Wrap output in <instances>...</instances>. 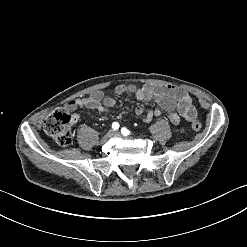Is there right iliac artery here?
Returning a JSON list of instances; mask_svg holds the SVG:
<instances>
[{
    "mask_svg": "<svg viewBox=\"0 0 247 247\" xmlns=\"http://www.w3.org/2000/svg\"><path fill=\"white\" fill-rule=\"evenodd\" d=\"M119 123L118 122H113V124H112V128L114 129V130H118L119 129Z\"/></svg>",
    "mask_w": 247,
    "mask_h": 247,
    "instance_id": "1",
    "label": "right iliac artery"
}]
</instances>
